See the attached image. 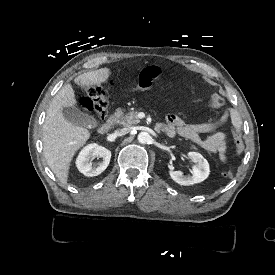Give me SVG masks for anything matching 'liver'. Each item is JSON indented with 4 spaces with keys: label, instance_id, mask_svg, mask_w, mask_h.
I'll return each mask as SVG.
<instances>
[{
    "label": "liver",
    "instance_id": "6515ba94",
    "mask_svg": "<svg viewBox=\"0 0 275 275\" xmlns=\"http://www.w3.org/2000/svg\"><path fill=\"white\" fill-rule=\"evenodd\" d=\"M108 78L109 69L101 68L79 75L75 78V83L81 86L100 85ZM75 104L71 84L64 85L51 101L43 125L44 157L53 173L63 184L67 183L72 157L90 137L87 129L70 123L63 115V108L73 107Z\"/></svg>",
    "mask_w": 275,
    "mask_h": 275
}]
</instances>
